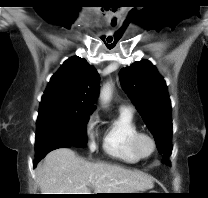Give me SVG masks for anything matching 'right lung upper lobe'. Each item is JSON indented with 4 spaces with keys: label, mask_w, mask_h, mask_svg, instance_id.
I'll return each mask as SVG.
<instances>
[{
    "label": "right lung upper lobe",
    "mask_w": 208,
    "mask_h": 198,
    "mask_svg": "<svg viewBox=\"0 0 208 198\" xmlns=\"http://www.w3.org/2000/svg\"><path fill=\"white\" fill-rule=\"evenodd\" d=\"M99 92V75L80 57L66 60L51 77L39 110L68 108L93 112Z\"/></svg>",
    "instance_id": "right-lung-upper-lobe-1"
}]
</instances>
